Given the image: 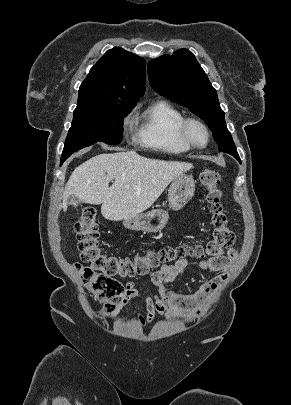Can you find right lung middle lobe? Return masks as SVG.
Wrapping results in <instances>:
<instances>
[{
    "instance_id": "obj_1",
    "label": "right lung middle lobe",
    "mask_w": 291,
    "mask_h": 405,
    "mask_svg": "<svg viewBox=\"0 0 291 405\" xmlns=\"http://www.w3.org/2000/svg\"><path fill=\"white\" fill-rule=\"evenodd\" d=\"M133 108L113 104L77 107L65 141L61 164L75 151L98 141L119 144L122 141L124 117Z\"/></svg>"
}]
</instances>
